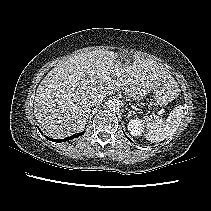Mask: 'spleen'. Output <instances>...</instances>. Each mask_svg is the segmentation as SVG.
I'll return each mask as SVG.
<instances>
[{
	"mask_svg": "<svg viewBox=\"0 0 211 211\" xmlns=\"http://www.w3.org/2000/svg\"><path fill=\"white\" fill-rule=\"evenodd\" d=\"M183 112V106H178L171 111L166 121L151 123L146 138L151 142H161L171 137L181 124Z\"/></svg>",
	"mask_w": 211,
	"mask_h": 211,
	"instance_id": "obj_1",
	"label": "spleen"
}]
</instances>
